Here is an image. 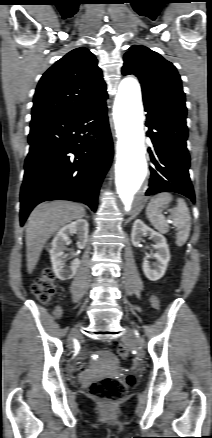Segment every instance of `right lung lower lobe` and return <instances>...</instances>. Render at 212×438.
I'll use <instances>...</instances> for the list:
<instances>
[{
	"label": "right lung lower lobe",
	"mask_w": 212,
	"mask_h": 438,
	"mask_svg": "<svg viewBox=\"0 0 212 438\" xmlns=\"http://www.w3.org/2000/svg\"><path fill=\"white\" fill-rule=\"evenodd\" d=\"M105 103L90 110L32 121L20 193V223L48 200H72L93 211L111 164L113 144Z\"/></svg>",
	"instance_id": "obj_1"
}]
</instances>
